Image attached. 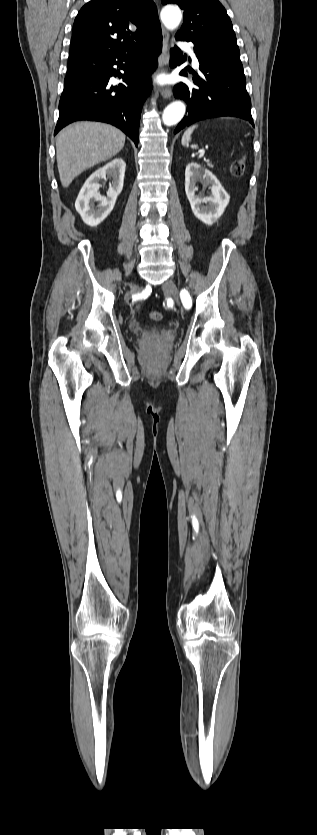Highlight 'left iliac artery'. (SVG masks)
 Here are the masks:
<instances>
[{"label":"left iliac artery","instance_id":"1","mask_svg":"<svg viewBox=\"0 0 317 835\" xmlns=\"http://www.w3.org/2000/svg\"><path fill=\"white\" fill-rule=\"evenodd\" d=\"M181 298H182L183 305L185 306V308H187V309L190 308L191 305H192V300H191L190 294L188 293L187 290L183 289L181 291Z\"/></svg>","mask_w":317,"mask_h":835}]
</instances>
